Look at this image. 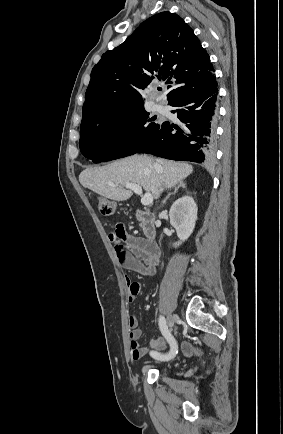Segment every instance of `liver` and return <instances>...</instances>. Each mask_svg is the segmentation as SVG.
Returning <instances> with one entry per match:
<instances>
[{"mask_svg": "<svg viewBox=\"0 0 283 434\" xmlns=\"http://www.w3.org/2000/svg\"><path fill=\"white\" fill-rule=\"evenodd\" d=\"M193 167L157 159L146 155H132L102 167H87L79 175L81 185L95 193L115 201H125L132 191L125 185L138 184L154 198H158L164 188H172L187 178Z\"/></svg>", "mask_w": 283, "mask_h": 434, "instance_id": "1", "label": "liver"}]
</instances>
